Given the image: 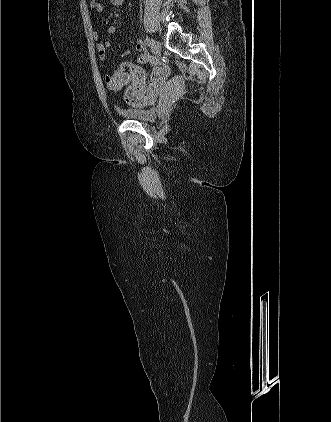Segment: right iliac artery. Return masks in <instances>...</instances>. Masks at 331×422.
Masks as SVG:
<instances>
[{
    "mask_svg": "<svg viewBox=\"0 0 331 422\" xmlns=\"http://www.w3.org/2000/svg\"><path fill=\"white\" fill-rule=\"evenodd\" d=\"M144 42H145V44L148 46V48H151V45H150V42H149V39H148V38H146V39L144 40Z\"/></svg>",
    "mask_w": 331,
    "mask_h": 422,
    "instance_id": "82829eb1",
    "label": "right iliac artery"
}]
</instances>
